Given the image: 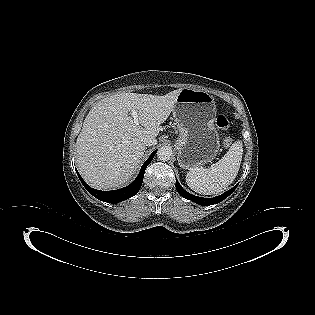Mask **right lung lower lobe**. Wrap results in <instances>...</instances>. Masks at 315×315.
<instances>
[{"instance_id": "right-lung-lower-lobe-1", "label": "right lung lower lobe", "mask_w": 315, "mask_h": 315, "mask_svg": "<svg viewBox=\"0 0 315 315\" xmlns=\"http://www.w3.org/2000/svg\"><path fill=\"white\" fill-rule=\"evenodd\" d=\"M156 152H157V150L152 152L150 157L142 165L140 173L137 176V178L130 185H128L124 188L118 189V190L100 191V190L93 189L84 182V180L82 179L80 174L77 172V170H76V172H77L78 177H79L80 181L82 182L83 186L87 189V191L89 193H91L94 197H96L97 199H99L101 201L115 204V203L121 202L125 199H128V198H130V197H132L138 193V191L142 185V182H143V176L145 173V169L150 164V162L152 161Z\"/></svg>"}]
</instances>
